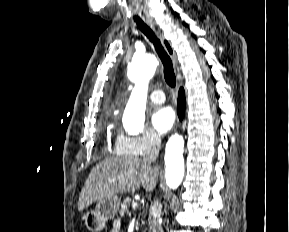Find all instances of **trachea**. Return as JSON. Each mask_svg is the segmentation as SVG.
<instances>
[{
    "mask_svg": "<svg viewBox=\"0 0 289 232\" xmlns=\"http://www.w3.org/2000/svg\"><path fill=\"white\" fill-rule=\"evenodd\" d=\"M138 28L153 43L155 50L162 61L164 68V78L166 83L174 88L176 86V76L173 69L171 58L162 47L160 40L155 36L154 32L145 24H138Z\"/></svg>",
    "mask_w": 289,
    "mask_h": 232,
    "instance_id": "trachea-1",
    "label": "trachea"
}]
</instances>
